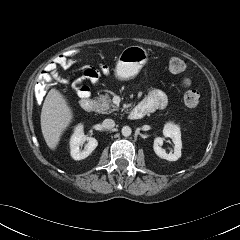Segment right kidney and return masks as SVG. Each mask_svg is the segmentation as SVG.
Returning a JSON list of instances; mask_svg holds the SVG:
<instances>
[{"mask_svg":"<svg viewBox=\"0 0 240 240\" xmlns=\"http://www.w3.org/2000/svg\"><path fill=\"white\" fill-rule=\"evenodd\" d=\"M84 149L80 147L85 143ZM98 142L93 137H87L83 133V125L79 124L70 139V153L74 160H82L88 157L97 147Z\"/></svg>","mask_w":240,"mask_h":240,"instance_id":"obj_1","label":"right kidney"}]
</instances>
